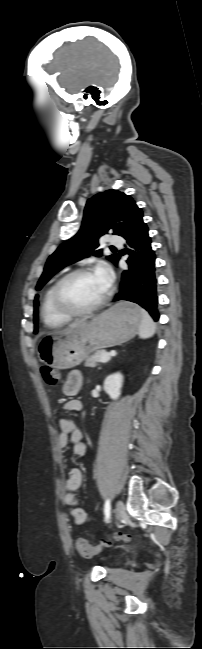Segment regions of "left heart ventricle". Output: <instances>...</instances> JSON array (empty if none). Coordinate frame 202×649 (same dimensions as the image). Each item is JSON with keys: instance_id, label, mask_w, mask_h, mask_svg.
<instances>
[{"instance_id": "obj_1", "label": "left heart ventricle", "mask_w": 202, "mask_h": 649, "mask_svg": "<svg viewBox=\"0 0 202 649\" xmlns=\"http://www.w3.org/2000/svg\"><path fill=\"white\" fill-rule=\"evenodd\" d=\"M106 290L95 272H91L72 278L64 287V296L71 306L85 309L98 302Z\"/></svg>"}]
</instances>
